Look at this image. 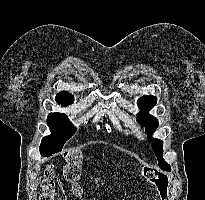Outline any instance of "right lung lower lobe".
I'll return each instance as SVG.
<instances>
[{
	"instance_id": "right-lung-lower-lobe-1",
	"label": "right lung lower lobe",
	"mask_w": 205,
	"mask_h": 200,
	"mask_svg": "<svg viewBox=\"0 0 205 200\" xmlns=\"http://www.w3.org/2000/svg\"><path fill=\"white\" fill-rule=\"evenodd\" d=\"M57 152L56 150L50 149L49 147H43L40 146V153L44 156V157H48L50 155H52L53 153Z\"/></svg>"
}]
</instances>
